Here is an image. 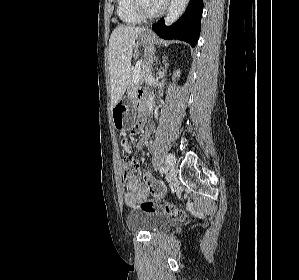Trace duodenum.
Returning <instances> with one entry per match:
<instances>
[{
    "label": "duodenum",
    "instance_id": "410a0bca",
    "mask_svg": "<svg viewBox=\"0 0 299 280\" xmlns=\"http://www.w3.org/2000/svg\"><path fill=\"white\" fill-rule=\"evenodd\" d=\"M138 98H139V109L143 113V115L146 116V106L143 101L142 94H140Z\"/></svg>",
    "mask_w": 299,
    "mask_h": 280
}]
</instances>
